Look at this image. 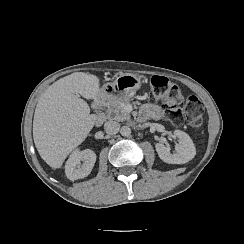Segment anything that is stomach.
I'll use <instances>...</instances> for the list:
<instances>
[{"label":"stomach","instance_id":"obj_1","mask_svg":"<svg viewBox=\"0 0 244 244\" xmlns=\"http://www.w3.org/2000/svg\"><path fill=\"white\" fill-rule=\"evenodd\" d=\"M141 87V76L132 73H123L113 82L105 83L99 91L98 98L110 102L112 100H124L129 98L131 91Z\"/></svg>","mask_w":244,"mask_h":244}]
</instances>
